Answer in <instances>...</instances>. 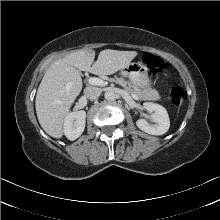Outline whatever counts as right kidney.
Instances as JSON below:
<instances>
[{
    "label": "right kidney",
    "mask_w": 220,
    "mask_h": 220,
    "mask_svg": "<svg viewBox=\"0 0 220 220\" xmlns=\"http://www.w3.org/2000/svg\"><path fill=\"white\" fill-rule=\"evenodd\" d=\"M84 110L68 113L64 121V134L69 140L77 139L85 129Z\"/></svg>",
    "instance_id": "right-kidney-1"
}]
</instances>
